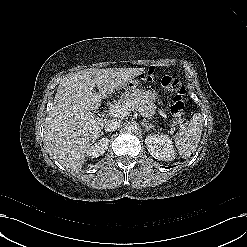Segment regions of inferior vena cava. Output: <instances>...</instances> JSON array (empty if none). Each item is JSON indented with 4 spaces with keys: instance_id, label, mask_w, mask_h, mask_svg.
<instances>
[{
    "instance_id": "602c4592",
    "label": "inferior vena cava",
    "mask_w": 247,
    "mask_h": 247,
    "mask_svg": "<svg viewBox=\"0 0 247 247\" xmlns=\"http://www.w3.org/2000/svg\"><path fill=\"white\" fill-rule=\"evenodd\" d=\"M121 125V121L116 119V118H112L109 120H106L104 123V130L106 132H113L116 129H118Z\"/></svg>"
}]
</instances>
